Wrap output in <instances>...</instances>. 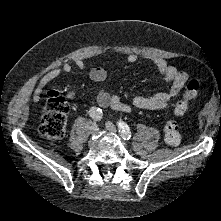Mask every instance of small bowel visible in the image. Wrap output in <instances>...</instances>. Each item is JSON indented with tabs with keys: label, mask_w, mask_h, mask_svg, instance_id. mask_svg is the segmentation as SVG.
Listing matches in <instances>:
<instances>
[{
	"label": "small bowel",
	"mask_w": 221,
	"mask_h": 221,
	"mask_svg": "<svg viewBox=\"0 0 221 221\" xmlns=\"http://www.w3.org/2000/svg\"><path fill=\"white\" fill-rule=\"evenodd\" d=\"M138 56L134 53L127 55L128 63H134ZM75 66L79 69H86L87 65L84 60L76 59ZM153 65L157 69L160 76L169 84L167 91L158 92L150 96L136 95L131 99V106L124 103L117 95H110L103 89H99L96 95L97 104L100 108H111L115 111L130 113L132 108L141 110H159L168 108L173 105V99L179 94L188 80V74L179 70L177 67L170 65L162 58H154ZM73 66L70 63H64L60 68H55L47 72L40 80L36 90L35 97L38 99L44 88L55 80L62 72L71 73ZM90 79L96 84H102L107 73L101 67L91 69L89 73Z\"/></svg>",
	"instance_id": "c3829d8e"
}]
</instances>
